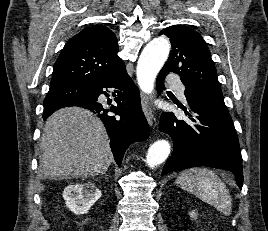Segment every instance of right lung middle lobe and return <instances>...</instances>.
<instances>
[{"label": "right lung middle lobe", "mask_w": 268, "mask_h": 231, "mask_svg": "<svg viewBox=\"0 0 268 231\" xmlns=\"http://www.w3.org/2000/svg\"><path fill=\"white\" fill-rule=\"evenodd\" d=\"M89 88L76 84L50 85L49 92L44 100V104L57 101H70L82 99L89 95Z\"/></svg>", "instance_id": "1"}]
</instances>
